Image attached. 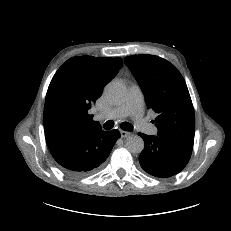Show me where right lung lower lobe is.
I'll use <instances>...</instances> for the list:
<instances>
[{"mask_svg": "<svg viewBox=\"0 0 231 231\" xmlns=\"http://www.w3.org/2000/svg\"><path fill=\"white\" fill-rule=\"evenodd\" d=\"M119 137L118 130L103 131L99 128L47 138L46 142L66 174L83 176L97 170Z\"/></svg>", "mask_w": 231, "mask_h": 231, "instance_id": "obj_1", "label": "right lung lower lobe"}]
</instances>
